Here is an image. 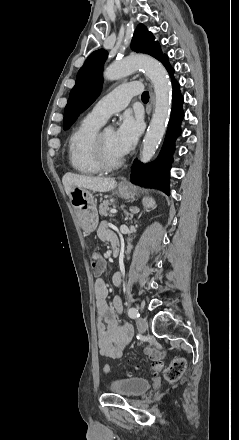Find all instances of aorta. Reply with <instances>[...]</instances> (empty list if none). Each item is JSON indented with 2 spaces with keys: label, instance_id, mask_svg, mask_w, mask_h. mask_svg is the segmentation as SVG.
Listing matches in <instances>:
<instances>
[{
  "label": "aorta",
  "instance_id": "762f6f07",
  "mask_svg": "<svg viewBox=\"0 0 239 440\" xmlns=\"http://www.w3.org/2000/svg\"><path fill=\"white\" fill-rule=\"evenodd\" d=\"M139 68H142L146 76L150 78L155 90V110L140 154L141 162L146 164L153 158L156 148L164 136L166 122L170 114L172 88L165 76V68L150 56H129L123 62L111 64L109 68H106L103 76L105 80H121ZM108 130H113V128L108 126Z\"/></svg>",
  "mask_w": 239,
  "mask_h": 440
}]
</instances>
